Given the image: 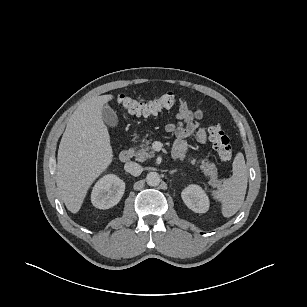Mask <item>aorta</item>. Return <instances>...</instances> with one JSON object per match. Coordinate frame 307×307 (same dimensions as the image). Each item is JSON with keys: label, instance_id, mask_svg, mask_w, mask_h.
<instances>
[{"label": "aorta", "instance_id": "762f6f07", "mask_svg": "<svg viewBox=\"0 0 307 307\" xmlns=\"http://www.w3.org/2000/svg\"><path fill=\"white\" fill-rule=\"evenodd\" d=\"M160 181V175L157 172H149L146 176V182L149 186H158Z\"/></svg>", "mask_w": 307, "mask_h": 307}]
</instances>
